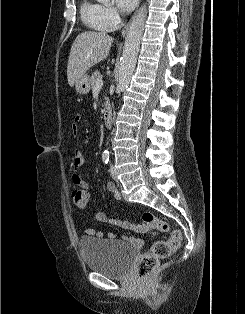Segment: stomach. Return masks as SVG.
Returning <instances> with one entry per match:
<instances>
[{"label": "stomach", "instance_id": "0dacf381", "mask_svg": "<svg viewBox=\"0 0 245 314\" xmlns=\"http://www.w3.org/2000/svg\"><path fill=\"white\" fill-rule=\"evenodd\" d=\"M89 76L87 74L82 75L75 83V89L78 94L84 95L90 91Z\"/></svg>", "mask_w": 245, "mask_h": 314}]
</instances>
